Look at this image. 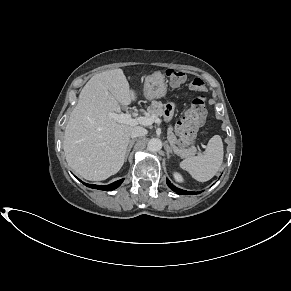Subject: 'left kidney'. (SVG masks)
Returning <instances> with one entry per match:
<instances>
[{"mask_svg": "<svg viewBox=\"0 0 291 291\" xmlns=\"http://www.w3.org/2000/svg\"><path fill=\"white\" fill-rule=\"evenodd\" d=\"M173 177H174L175 181H177V182H183V177L178 172H174L173 173Z\"/></svg>", "mask_w": 291, "mask_h": 291, "instance_id": "5707ae66", "label": "left kidney"}]
</instances>
